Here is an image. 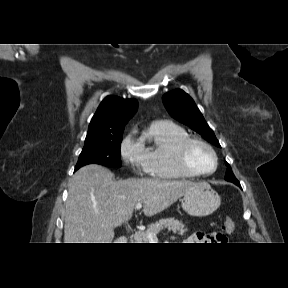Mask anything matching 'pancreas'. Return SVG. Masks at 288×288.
I'll use <instances>...</instances> for the list:
<instances>
[{
	"instance_id": "1",
	"label": "pancreas",
	"mask_w": 288,
	"mask_h": 288,
	"mask_svg": "<svg viewBox=\"0 0 288 288\" xmlns=\"http://www.w3.org/2000/svg\"><path fill=\"white\" fill-rule=\"evenodd\" d=\"M164 228H167L168 231H172L174 234L178 233L179 235H184L187 231L182 221L171 217L150 224L146 231L136 232L133 236V240L135 243H147L149 241V233H157Z\"/></svg>"
}]
</instances>
